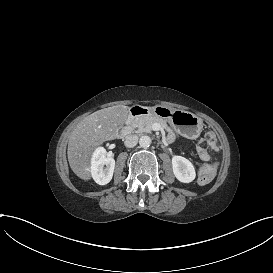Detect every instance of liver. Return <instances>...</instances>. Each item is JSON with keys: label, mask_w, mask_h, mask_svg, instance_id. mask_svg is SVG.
Here are the masks:
<instances>
[{"label": "liver", "mask_w": 273, "mask_h": 273, "mask_svg": "<svg viewBox=\"0 0 273 273\" xmlns=\"http://www.w3.org/2000/svg\"><path fill=\"white\" fill-rule=\"evenodd\" d=\"M130 108L115 105L85 117L71 132L67 158L73 173L81 180L90 181L91 162L96 149L105 142L118 139L119 131L129 117Z\"/></svg>", "instance_id": "6515ba94"}]
</instances>
